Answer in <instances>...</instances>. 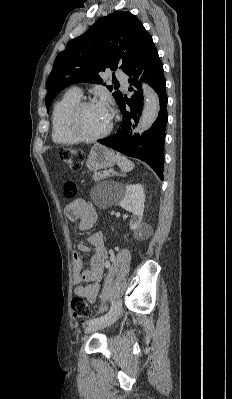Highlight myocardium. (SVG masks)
I'll return each instance as SVG.
<instances>
[{
	"mask_svg": "<svg viewBox=\"0 0 232 399\" xmlns=\"http://www.w3.org/2000/svg\"><path fill=\"white\" fill-rule=\"evenodd\" d=\"M96 103H97V101L94 99L81 100L71 109V111L68 114L67 121H66L67 130H68L69 134L78 142L95 143V142L101 141V140L107 138L111 134V132L114 128V123H113V121H111L107 130L98 136L88 137L79 132V130L77 128V119L79 117V114L86 107L92 106Z\"/></svg>",
	"mask_w": 232,
	"mask_h": 399,
	"instance_id": "obj_1",
	"label": "myocardium"
}]
</instances>
